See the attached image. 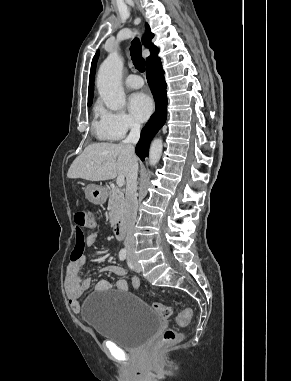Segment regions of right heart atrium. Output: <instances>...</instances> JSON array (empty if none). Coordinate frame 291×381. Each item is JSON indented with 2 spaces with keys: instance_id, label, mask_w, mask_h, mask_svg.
I'll list each match as a JSON object with an SVG mask.
<instances>
[{
  "instance_id": "right-heart-atrium-1",
  "label": "right heart atrium",
  "mask_w": 291,
  "mask_h": 381,
  "mask_svg": "<svg viewBox=\"0 0 291 381\" xmlns=\"http://www.w3.org/2000/svg\"><path fill=\"white\" fill-rule=\"evenodd\" d=\"M100 120L106 133L119 140L140 128L139 123L124 111L100 110Z\"/></svg>"
}]
</instances>
